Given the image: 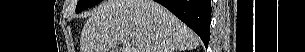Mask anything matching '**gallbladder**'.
I'll use <instances>...</instances> for the list:
<instances>
[{
  "mask_svg": "<svg viewBox=\"0 0 305 52\" xmlns=\"http://www.w3.org/2000/svg\"><path fill=\"white\" fill-rule=\"evenodd\" d=\"M111 51H112V52H114L115 50H114V49H112Z\"/></svg>",
  "mask_w": 305,
  "mask_h": 52,
  "instance_id": "1",
  "label": "gallbladder"
}]
</instances>
